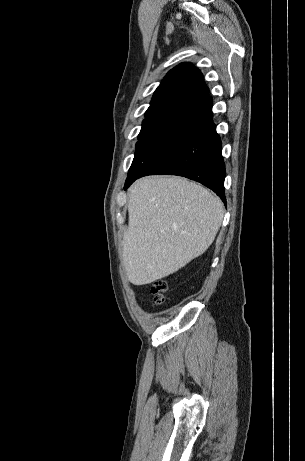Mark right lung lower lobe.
I'll return each mask as SVG.
<instances>
[{"label":"right lung lower lobe","instance_id":"98d812e1","mask_svg":"<svg viewBox=\"0 0 305 461\" xmlns=\"http://www.w3.org/2000/svg\"><path fill=\"white\" fill-rule=\"evenodd\" d=\"M151 174L183 176L207 186L224 203L225 165L222 145L212 121V98L188 108L165 138L128 172L125 189Z\"/></svg>","mask_w":305,"mask_h":461}]
</instances>
